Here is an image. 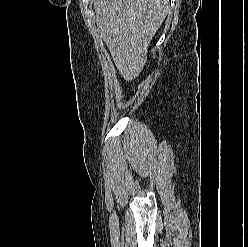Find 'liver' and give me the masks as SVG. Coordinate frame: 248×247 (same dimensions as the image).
<instances>
[{
    "label": "liver",
    "mask_w": 248,
    "mask_h": 247,
    "mask_svg": "<svg viewBox=\"0 0 248 247\" xmlns=\"http://www.w3.org/2000/svg\"><path fill=\"white\" fill-rule=\"evenodd\" d=\"M97 27L126 81L142 71L149 44L169 10L168 0H93Z\"/></svg>",
    "instance_id": "6515ba94"
}]
</instances>
